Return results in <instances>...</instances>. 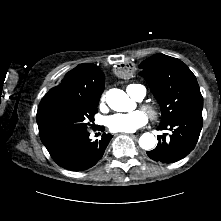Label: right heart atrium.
I'll use <instances>...</instances> for the list:
<instances>
[{
    "instance_id": "d8ad5b80",
    "label": "right heart atrium",
    "mask_w": 221,
    "mask_h": 221,
    "mask_svg": "<svg viewBox=\"0 0 221 221\" xmlns=\"http://www.w3.org/2000/svg\"><path fill=\"white\" fill-rule=\"evenodd\" d=\"M105 101V94H103L102 96H101V102H104Z\"/></svg>"
}]
</instances>
